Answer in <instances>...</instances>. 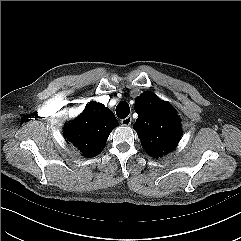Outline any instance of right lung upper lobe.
<instances>
[{
    "label": "right lung upper lobe",
    "instance_id": "obj_1",
    "mask_svg": "<svg viewBox=\"0 0 241 241\" xmlns=\"http://www.w3.org/2000/svg\"><path fill=\"white\" fill-rule=\"evenodd\" d=\"M118 126L114 114L101 103H90L75 120L66 124V139L85 157L100 153L111 130Z\"/></svg>",
    "mask_w": 241,
    "mask_h": 241
}]
</instances>
